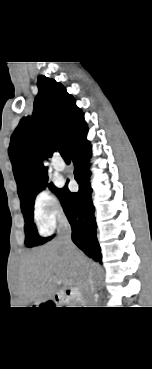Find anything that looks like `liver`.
<instances>
[{
    "label": "liver",
    "mask_w": 152,
    "mask_h": 369,
    "mask_svg": "<svg viewBox=\"0 0 152 369\" xmlns=\"http://www.w3.org/2000/svg\"><path fill=\"white\" fill-rule=\"evenodd\" d=\"M83 260L91 267V262L79 251ZM80 266L58 240L35 249L22 260L18 283L23 305H34L53 298L56 292V280L66 286L80 285Z\"/></svg>",
    "instance_id": "6515ba94"
}]
</instances>
